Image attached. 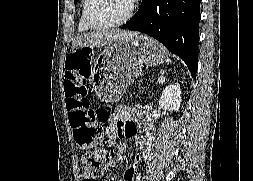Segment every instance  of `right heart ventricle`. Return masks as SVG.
Instances as JSON below:
<instances>
[{
	"mask_svg": "<svg viewBox=\"0 0 253 181\" xmlns=\"http://www.w3.org/2000/svg\"><path fill=\"white\" fill-rule=\"evenodd\" d=\"M86 3H87V0H83V2H82V7H81V14H80V19H79V30H80L81 32L89 31V30L92 29V28H90V27L85 23V20H84V9H85Z\"/></svg>",
	"mask_w": 253,
	"mask_h": 181,
	"instance_id": "obj_1",
	"label": "right heart ventricle"
}]
</instances>
